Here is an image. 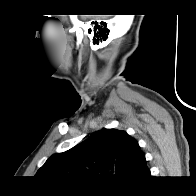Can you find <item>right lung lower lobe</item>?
<instances>
[{"instance_id":"obj_1","label":"right lung lower lobe","mask_w":196,"mask_h":196,"mask_svg":"<svg viewBox=\"0 0 196 196\" xmlns=\"http://www.w3.org/2000/svg\"><path fill=\"white\" fill-rule=\"evenodd\" d=\"M149 176H150V174L146 177V178H149ZM141 183V182H140ZM140 183H138V184H140ZM138 184H133V185H131V186H136V185H138Z\"/></svg>"}]
</instances>
